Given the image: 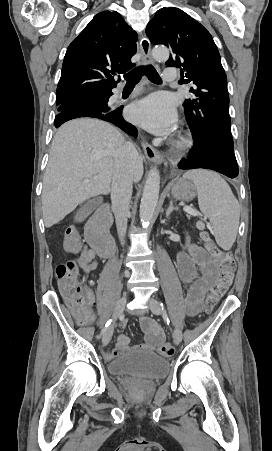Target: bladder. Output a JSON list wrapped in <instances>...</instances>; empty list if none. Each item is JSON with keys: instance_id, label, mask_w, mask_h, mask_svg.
<instances>
[{"instance_id": "31cf9c89", "label": "bladder", "mask_w": 272, "mask_h": 451, "mask_svg": "<svg viewBox=\"0 0 272 451\" xmlns=\"http://www.w3.org/2000/svg\"><path fill=\"white\" fill-rule=\"evenodd\" d=\"M169 371V361L157 353L120 355L108 362L112 376L134 375L138 378H162Z\"/></svg>"}]
</instances>
